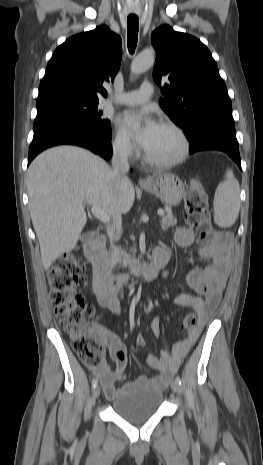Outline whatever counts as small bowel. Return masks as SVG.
Segmentation results:
<instances>
[{
  "label": "small bowel",
  "instance_id": "1",
  "mask_svg": "<svg viewBox=\"0 0 263 465\" xmlns=\"http://www.w3.org/2000/svg\"><path fill=\"white\" fill-rule=\"evenodd\" d=\"M193 240V234L189 229L180 227L175 231L174 241L179 246H189L193 243ZM162 252H168V249L160 247L155 251L154 256ZM198 253L201 257L210 259L211 263L204 268L191 270L187 274L186 281L196 295H176L171 302L176 306L193 309L199 317V326L190 331L186 338L176 342L170 351H162L160 356L152 353L148 354L146 358L147 364L152 370L159 373L158 376L148 378L141 375L135 381L125 383L122 387L117 388L115 383L125 379L126 348L116 335L100 329L104 342L109 349L110 357L116 366L114 371L106 365L94 371L95 375L100 379L108 399H115L124 392L138 386H146L162 391L197 341L204 324L216 310L225 289L229 273V239L227 236H222L213 244L200 247ZM97 301L102 308L120 314L121 301L118 294L103 295L98 292ZM150 327L153 334L158 337L160 334V315L152 318ZM135 343L139 347H144L146 341L139 334L135 339Z\"/></svg>",
  "mask_w": 263,
  "mask_h": 465
}]
</instances>
